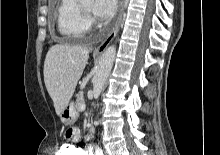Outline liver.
I'll return each instance as SVG.
<instances>
[{"instance_id": "obj_1", "label": "liver", "mask_w": 220, "mask_h": 155, "mask_svg": "<svg viewBox=\"0 0 220 155\" xmlns=\"http://www.w3.org/2000/svg\"><path fill=\"white\" fill-rule=\"evenodd\" d=\"M88 58L89 50L81 46L56 44L48 50L44 82L58 116L69 104Z\"/></svg>"}]
</instances>
